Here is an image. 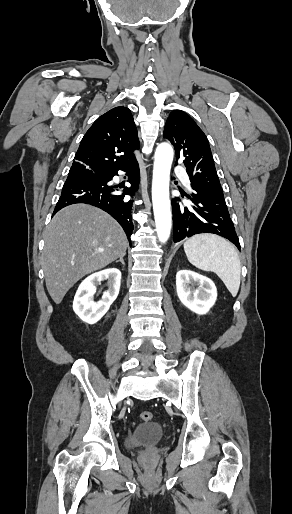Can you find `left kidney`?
Returning a JSON list of instances; mask_svg holds the SVG:
<instances>
[{"instance_id":"obj_1","label":"left kidney","mask_w":292,"mask_h":514,"mask_svg":"<svg viewBox=\"0 0 292 514\" xmlns=\"http://www.w3.org/2000/svg\"><path fill=\"white\" fill-rule=\"evenodd\" d=\"M176 288L179 300L195 314H207L217 300L214 282L191 270L177 272Z\"/></svg>"}]
</instances>
